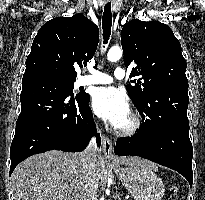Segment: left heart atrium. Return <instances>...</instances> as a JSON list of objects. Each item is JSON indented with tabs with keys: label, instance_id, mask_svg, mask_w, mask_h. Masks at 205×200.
<instances>
[{
	"label": "left heart atrium",
	"instance_id": "39dd6f15",
	"mask_svg": "<svg viewBox=\"0 0 205 200\" xmlns=\"http://www.w3.org/2000/svg\"><path fill=\"white\" fill-rule=\"evenodd\" d=\"M91 105L94 113L114 128H120L130 115L126 96L114 87L96 89Z\"/></svg>",
	"mask_w": 205,
	"mask_h": 200
}]
</instances>
